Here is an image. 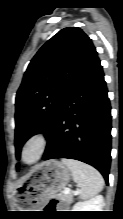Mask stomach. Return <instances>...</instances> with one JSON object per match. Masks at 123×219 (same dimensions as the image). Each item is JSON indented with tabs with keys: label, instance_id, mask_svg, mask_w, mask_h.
<instances>
[{
	"label": "stomach",
	"instance_id": "0dacf381",
	"mask_svg": "<svg viewBox=\"0 0 123 219\" xmlns=\"http://www.w3.org/2000/svg\"><path fill=\"white\" fill-rule=\"evenodd\" d=\"M70 169L60 161L49 160L33 169L15 193L20 211H40L49 198L56 196L68 184Z\"/></svg>",
	"mask_w": 123,
	"mask_h": 219
}]
</instances>
